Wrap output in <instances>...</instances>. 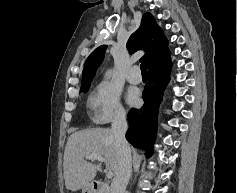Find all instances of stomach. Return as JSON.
<instances>
[{
	"instance_id": "1",
	"label": "stomach",
	"mask_w": 237,
	"mask_h": 193,
	"mask_svg": "<svg viewBox=\"0 0 237 193\" xmlns=\"http://www.w3.org/2000/svg\"><path fill=\"white\" fill-rule=\"evenodd\" d=\"M82 193H95L92 184H89L88 186L84 187L82 189Z\"/></svg>"
}]
</instances>
